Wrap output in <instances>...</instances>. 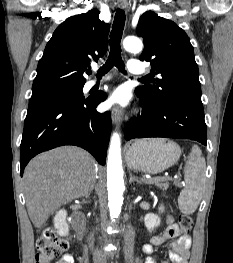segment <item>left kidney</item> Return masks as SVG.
Segmentation results:
<instances>
[{
	"label": "left kidney",
	"instance_id": "1",
	"mask_svg": "<svg viewBox=\"0 0 233 263\" xmlns=\"http://www.w3.org/2000/svg\"><path fill=\"white\" fill-rule=\"evenodd\" d=\"M164 206L161 205L159 207V211L163 212ZM144 224L149 232H152L154 228L160 225V218L158 215L155 214H146L144 217Z\"/></svg>",
	"mask_w": 233,
	"mask_h": 263
}]
</instances>
